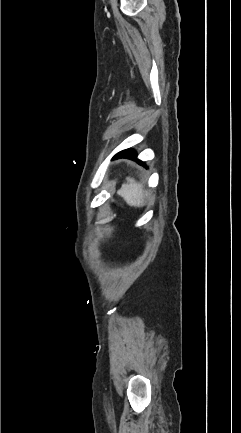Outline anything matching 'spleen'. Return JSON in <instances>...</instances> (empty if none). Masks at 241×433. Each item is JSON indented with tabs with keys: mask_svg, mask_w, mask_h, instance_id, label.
Listing matches in <instances>:
<instances>
[{
	"mask_svg": "<svg viewBox=\"0 0 241 433\" xmlns=\"http://www.w3.org/2000/svg\"><path fill=\"white\" fill-rule=\"evenodd\" d=\"M118 194L124 198L129 206L141 207L144 205L145 191L141 183L127 177V183L123 184Z\"/></svg>",
	"mask_w": 241,
	"mask_h": 433,
	"instance_id": "3e777b00",
	"label": "spleen"
}]
</instances>
